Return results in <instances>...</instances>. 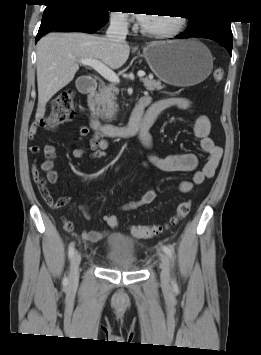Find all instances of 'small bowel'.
Instances as JSON below:
<instances>
[{
    "instance_id": "obj_1",
    "label": "small bowel",
    "mask_w": 261,
    "mask_h": 355,
    "mask_svg": "<svg viewBox=\"0 0 261 355\" xmlns=\"http://www.w3.org/2000/svg\"><path fill=\"white\" fill-rule=\"evenodd\" d=\"M140 102L142 106L140 111L142 112L145 121H152V124L156 117L165 109L176 108L181 111H195L191 100L181 96H166L158 101L151 103L149 96L143 97ZM38 126L36 123L30 127L29 137L33 138ZM211 124L209 118L202 114L196 113L194 120V135L200 139V145L204 152L207 153V159L205 165L200 170H196L198 166V158L194 153L168 155L165 157H159L156 155H149L145 166H152L165 172H192L191 180H183L179 184V190L182 193H190L194 186L202 183L205 179L212 178L215 174L216 168L219 165L222 157V149L217 146L213 139L210 137ZM90 133L88 126L81 125L79 127V139L87 137ZM142 145L149 149L152 145V138L149 133V128L144 129L139 134ZM109 141L103 137L99 132H94L88 145L76 146L72 152L74 158L81 159L87 154L94 159L103 158L106 156L105 149L108 147ZM30 154L38 155L43 152L45 159L39 164L34 163L32 166L31 174L33 181L36 183L43 199L47 205L52 209H59L66 206L70 198L60 197L57 200L53 198L50 191L47 188V182L55 184L59 180L58 172L54 169L55 159L57 157L56 147L53 144H47L43 148L38 145H32L29 147ZM41 171L46 172V179L41 176ZM156 198V191L151 188L146 191L142 197L137 201H129L120 206L119 210L128 211L136 209L142 205L149 204ZM78 209L81 212L85 220L91 218L89 207L86 203L79 204ZM104 222L110 227L116 228L118 226L117 217L114 214L106 213L103 216ZM63 229L71 234H75V228L71 221L62 219ZM106 232L95 230H84L81 232L80 237L91 243L100 241Z\"/></svg>"
}]
</instances>
